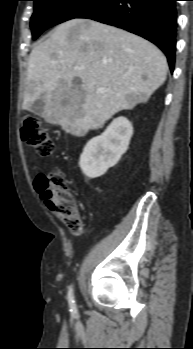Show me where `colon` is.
<instances>
[{
    "label": "colon",
    "mask_w": 193,
    "mask_h": 349,
    "mask_svg": "<svg viewBox=\"0 0 193 349\" xmlns=\"http://www.w3.org/2000/svg\"><path fill=\"white\" fill-rule=\"evenodd\" d=\"M22 140L35 148L39 156L48 158L54 153V142L40 121L25 115L21 124ZM47 207L74 234L82 229V220L75 198L70 193L59 169L40 174L35 182Z\"/></svg>",
    "instance_id": "obj_1"
}]
</instances>
